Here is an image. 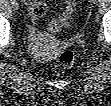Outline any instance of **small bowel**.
Returning a JSON list of instances; mask_svg holds the SVG:
<instances>
[{
    "label": "small bowel",
    "mask_w": 111,
    "mask_h": 106,
    "mask_svg": "<svg viewBox=\"0 0 111 106\" xmlns=\"http://www.w3.org/2000/svg\"><path fill=\"white\" fill-rule=\"evenodd\" d=\"M25 4L29 7V11L33 17L40 16L44 13L45 5L41 0H26Z\"/></svg>",
    "instance_id": "c3829d8e"
}]
</instances>
